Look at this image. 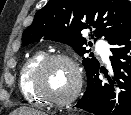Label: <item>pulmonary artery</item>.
Listing matches in <instances>:
<instances>
[{"mask_svg":"<svg viewBox=\"0 0 131 115\" xmlns=\"http://www.w3.org/2000/svg\"><path fill=\"white\" fill-rule=\"evenodd\" d=\"M96 47H97V50L100 53L103 61L108 62L109 61L110 51L108 49V46L105 44V42L102 41V40H98L97 44H96Z\"/></svg>","mask_w":131,"mask_h":115,"instance_id":"e3ab8cb5","label":"pulmonary artery"}]
</instances>
